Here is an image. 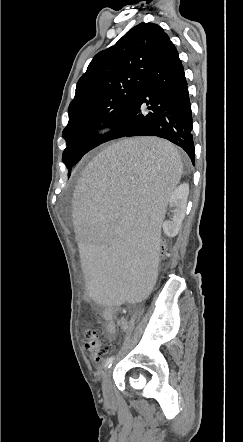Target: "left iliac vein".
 Returning a JSON list of instances; mask_svg holds the SVG:
<instances>
[{
    "label": "left iliac vein",
    "mask_w": 243,
    "mask_h": 442,
    "mask_svg": "<svg viewBox=\"0 0 243 442\" xmlns=\"http://www.w3.org/2000/svg\"><path fill=\"white\" fill-rule=\"evenodd\" d=\"M111 376H112V369L110 368L105 372L102 381L103 397L106 403H110L114 398Z\"/></svg>",
    "instance_id": "1"
}]
</instances>
